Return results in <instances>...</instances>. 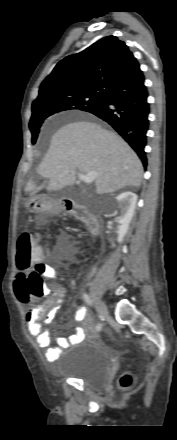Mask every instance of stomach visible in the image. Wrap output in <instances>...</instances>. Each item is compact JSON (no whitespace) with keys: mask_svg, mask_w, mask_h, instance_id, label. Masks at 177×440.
Here are the masks:
<instances>
[{"mask_svg":"<svg viewBox=\"0 0 177 440\" xmlns=\"http://www.w3.org/2000/svg\"><path fill=\"white\" fill-rule=\"evenodd\" d=\"M26 209L38 215H48L57 213L60 210V206L57 200L43 195H35L26 203Z\"/></svg>","mask_w":177,"mask_h":440,"instance_id":"stomach-1","label":"stomach"}]
</instances>
